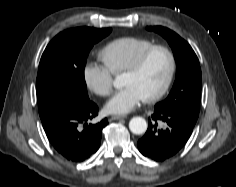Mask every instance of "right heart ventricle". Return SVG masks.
<instances>
[{"label": "right heart ventricle", "mask_w": 236, "mask_h": 187, "mask_svg": "<svg viewBox=\"0 0 236 187\" xmlns=\"http://www.w3.org/2000/svg\"><path fill=\"white\" fill-rule=\"evenodd\" d=\"M154 45L140 37H121L105 45L98 54L104 66L113 74L124 72L133 60L145 49Z\"/></svg>", "instance_id": "right-heart-ventricle-1"}]
</instances>
